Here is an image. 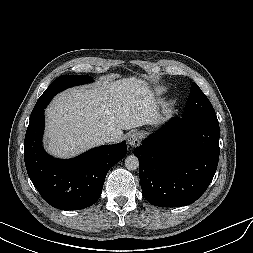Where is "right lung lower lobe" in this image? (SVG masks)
<instances>
[{
	"label": "right lung lower lobe",
	"mask_w": 253,
	"mask_h": 253,
	"mask_svg": "<svg viewBox=\"0 0 253 253\" xmlns=\"http://www.w3.org/2000/svg\"><path fill=\"white\" fill-rule=\"evenodd\" d=\"M44 109L30 116L24 140L28 176L42 198L61 210H79L100 197L109 169L127 153L126 142L101 146L70 160L48 155L42 147Z\"/></svg>",
	"instance_id": "right-lung-lower-lobe-1"
}]
</instances>
